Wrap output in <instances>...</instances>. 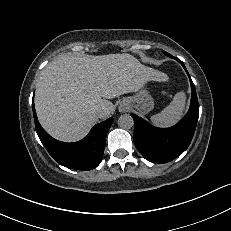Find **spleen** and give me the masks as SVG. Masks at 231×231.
Wrapping results in <instances>:
<instances>
[{
  "label": "spleen",
  "mask_w": 231,
  "mask_h": 231,
  "mask_svg": "<svg viewBox=\"0 0 231 231\" xmlns=\"http://www.w3.org/2000/svg\"><path fill=\"white\" fill-rule=\"evenodd\" d=\"M186 97L184 92H179L173 101L160 113L150 117L151 122L157 127H170L177 123L183 116Z\"/></svg>",
  "instance_id": "spleen-1"
}]
</instances>
